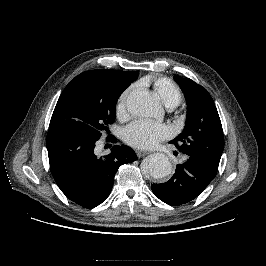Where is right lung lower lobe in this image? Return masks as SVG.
<instances>
[{"label": "right lung lower lobe", "mask_w": 266, "mask_h": 266, "mask_svg": "<svg viewBox=\"0 0 266 266\" xmlns=\"http://www.w3.org/2000/svg\"><path fill=\"white\" fill-rule=\"evenodd\" d=\"M96 142L97 139L68 131L50 130L47 134L54 180L68 199L86 208L101 204L112 190L118 168L137 160L133 149L125 145H115L110 154L99 158L94 153Z\"/></svg>", "instance_id": "98d812e1"}]
</instances>
